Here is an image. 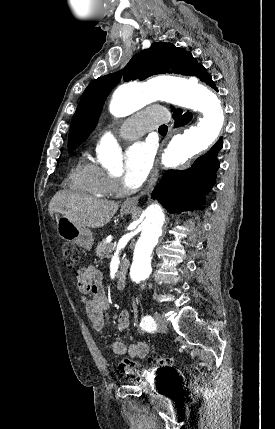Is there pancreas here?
<instances>
[{"label": "pancreas", "instance_id": "obj_1", "mask_svg": "<svg viewBox=\"0 0 275 429\" xmlns=\"http://www.w3.org/2000/svg\"><path fill=\"white\" fill-rule=\"evenodd\" d=\"M113 247V243H108L106 240H102L98 243L96 247V256L100 259L108 257L107 252L111 250Z\"/></svg>", "mask_w": 275, "mask_h": 429}]
</instances>
